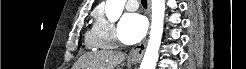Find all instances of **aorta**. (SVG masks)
<instances>
[{
	"label": "aorta",
	"mask_w": 246,
	"mask_h": 69,
	"mask_svg": "<svg viewBox=\"0 0 246 69\" xmlns=\"http://www.w3.org/2000/svg\"><path fill=\"white\" fill-rule=\"evenodd\" d=\"M126 0H106L105 13L115 22L122 14ZM165 0H152V23L149 42L140 69H155L164 27Z\"/></svg>",
	"instance_id": "obj_1"
}]
</instances>
